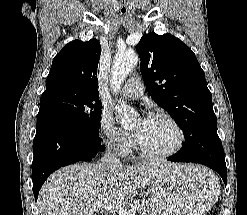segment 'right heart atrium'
I'll use <instances>...</instances> for the list:
<instances>
[{
  "label": "right heart atrium",
  "instance_id": "1",
  "mask_svg": "<svg viewBox=\"0 0 247 215\" xmlns=\"http://www.w3.org/2000/svg\"><path fill=\"white\" fill-rule=\"evenodd\" d=\"M98 132L106 147L116 154L125 156L130 152L133 146L131 135L118 127L106 111L100 115Z\"/></svg>",
  "mask_w": 247,
  "mask_h": 215
}]
</instances>
